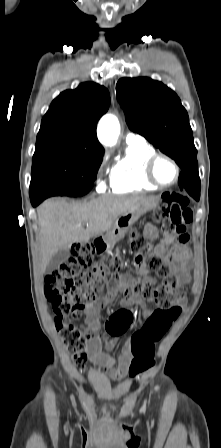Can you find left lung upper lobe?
I'll use <instances>...</instances> for the list:
<instances>
[{"label":"left lung upper lobe","instance_id":"1","mask_svg":"<svg viewBox=\"0 0 221 448\" xmlns=\"http://www.w3.org/2000/svg\"><path fill=\"white\" fill-rule=\"evenodd\" d=\"M117 99L129 129L143 135L183 169H197L188 114L174 91L150 78H122Z\"/></svg>","mask_w":221,"mask_h":448}]
</instances>
